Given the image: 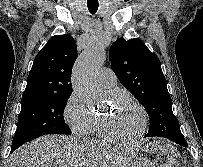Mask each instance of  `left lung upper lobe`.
<instances>
[{"label": "left lung upper lobe", "instance_id": "obj_1", "mask_svg": "<svg viewBox=\"0 0 203 167\" xmlns=\"http://www.w3.org/2000/svg\"><path fill=\"white\" fill-rule=\"evenodd\" d=\"M111 67L119 81L144 106L150 128L146 137L182 135L172 111V100L159 58L140 39H117L109 52Z\"/></svg>", "mask_w": 203, "mask_h": 167}]
</instances>
